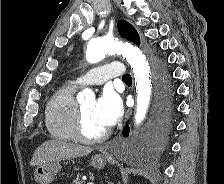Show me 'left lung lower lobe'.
I'll return each mask as SVG.
<instances>
[{
	"mask_svg": "<svg viewBox=\"0 0 224 184\" xmlns=\"http://www.w3.org/2000/svg\"><path fill=\"white\" fill-rule=\"evenodd\" d=\"M170 97V91L168 90V76L166 73H162L161 75V84H160V98H159V106L157 109V113L160 117L163 113L169 112L168 102ZM129 135V127L125 126L123 130V136L127 137Z\"/></svg>",
	"mask_w": 224,
	"mask_h": 184,
	"instance_id": "1",
	"label": "left lung lower lobe"
}]
</instances>
